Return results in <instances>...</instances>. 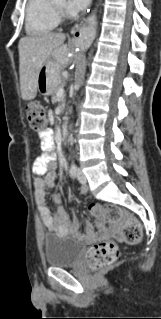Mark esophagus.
<instances>
[{
    "instance_id": "esophagus-1",
    "label": "esophagus",
    "mask_w": 161,
    "mask_h": 319,
    "mask_svg": "<svg viewBox=\"0 0 161 319\" xmlns=\"http://www.w3.org/2000/svg\"><path fill=\"white\" fill-rule=\"evenodd\" d=\"M71 34L73 35V38L82 46L87 47L89 45V39L87 37L88 29L85 25H80L76 29H73Z\"/></svg>"
}]
</instances>
